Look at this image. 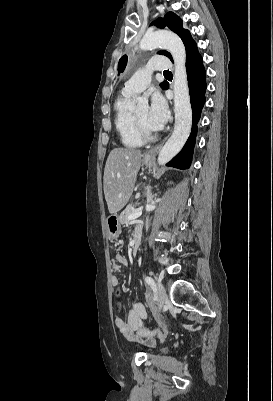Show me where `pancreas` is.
<instances>
[{"instance_id": "pancreas-1", "label": "pancreas", "mask_w": 273, "mask_h": 401, "mask_svg": "<svg viewBox=\"0 0 273 401\" xmlns=\"http://www.w3.org/2000/svg\"><path fill=\"white\" fill-rule=\"evenodd\" d=\"M137 205H140V203H137ZM132 213H135L134 205H127L125 211H122L119 217L120 225H129L130 221L128 217L132 215Z\"/></svg>"}]
</instances>
